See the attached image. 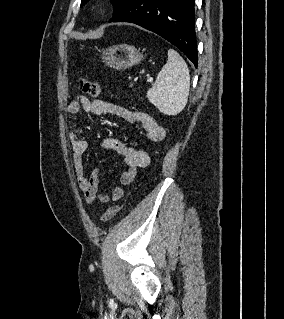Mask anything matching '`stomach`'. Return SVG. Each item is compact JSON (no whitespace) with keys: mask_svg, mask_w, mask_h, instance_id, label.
Masks as SVG:
<instances>
[{"mask_svg":"<svg viewBox=\"0 0 284 319\" xmlns=\"http://www.w3.org/2000/svg\"><path fill=\"white\" fill-rule=\"evenodd\" d=\"M101 58L108 66L126 69L141 62L143 55L132 45L119 44L101 51Z\"/></svg>","mask_w":284,"mask_h":319,"instance_id":"stomach-1","label":"stomach"}]
</instances>
